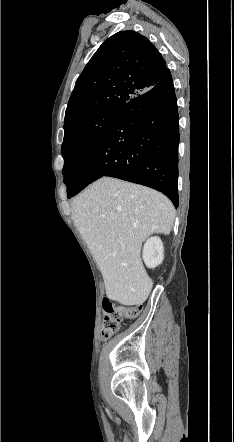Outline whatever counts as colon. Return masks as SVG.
Here are the masks:
<instances>
[{
	"label": "colon",
	"instance_id": "5ec220e1",
	"mask_svg": "<svg viewBox=\"0 0 234 442\" xmlns=\"http://www.w3.org/2000/svg\"><path fill=\"white\" fill-rule=\"evenodd\" d=\"M104 309V324L102 334L105 339L114 335L123 320L127 318H136L142 311V306L139 304L130 306H116L112 302L106 300L103 302Z\"/></svg>",
	"mask_w": 234,
	"mask_h": 442
}]
</instances>
